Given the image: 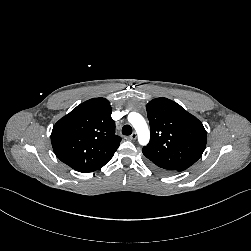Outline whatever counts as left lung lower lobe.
Wrapping results in <instances>:
<instances>
[{"mask_svg": "<svg viewBox=\"0 0 251 251\" xmlns=\"http://www.w3.org/2000/svg\"><path fill=\"white\" fill-rule=\"evenodd\" d=\"M152 167H153L154 169L158 170V171H161V172H166V173H167V172H171V170L158 168V167H155V166H153V165H152Z\"/></svg>", "mask_w": 251, "mask_h": 251, "instance_id": "1", "label": "left lung lower lobe"}]
</instances>
